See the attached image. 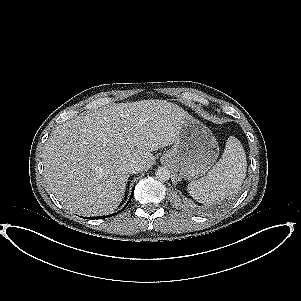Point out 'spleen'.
<instances>
[{
  "label": "spleen",
  "instance_id": "obj_1",
  "mask_svg": "<svg viewBox=\"0 0 301 301\" xmlns=\"http://www.w3.org/2000/svg\"><path fill=\"white\" fill-rule=\"evenodd\" d=\"M247 171V159L240 143L229 138L220 160L199 181H191L188 193L201 203H213L237 193Z\"/></svg>",
  "mask_w": 301,
  "mask_h": 301
}]
</instances>
